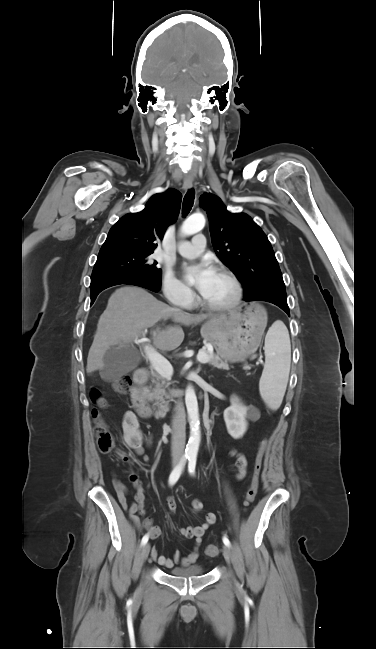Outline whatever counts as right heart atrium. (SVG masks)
<instances>
[{"label": "right heart atrium", "mask_w": 376, "mask_h": 649, "mask_svg": "<svg viewBox=\"0 0 376 649\" xmlns=\"http://www.w3.org/2000/svg\"><path fill=\"white\" fill-rule=\"evenodd\" d=\"M161 289L165 298L179 307H190L195 300L193 291L168 272L163 275Z\"/></svg>", "instance_id": "right-heart-atrium-1"}]
</instances>
